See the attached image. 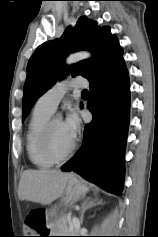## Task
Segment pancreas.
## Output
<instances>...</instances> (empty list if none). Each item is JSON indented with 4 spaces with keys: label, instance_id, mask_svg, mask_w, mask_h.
Wrapping results in <instances>:
<instances>
[{
    "label": "pancreas",
    "instance_id": "1",
    "mask_svg": "<svg viewBox=\"0 0 158 237\" xmlns=\"http://www.w3.org/2000/svg\"><path fill=\"white\" fill-rule=\"evenodd\" d=\"M50 231L53 236L56 235H77L78 228L71 223V217L62 216L55 224L50 225Z\"/></svg>",
    "mask_w": 158,
    "mask_h": 237
}]
</instances>
